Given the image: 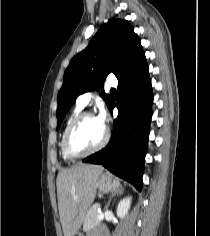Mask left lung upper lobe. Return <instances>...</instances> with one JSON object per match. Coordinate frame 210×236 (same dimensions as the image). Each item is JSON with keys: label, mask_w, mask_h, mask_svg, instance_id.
<instances>
[{"label": "left lung upper lobe", "mask_w": 210, "mask_h": 236, "mask_svg": "<svg viewBox=\"0 0 210 236\" xmlns=\"http://www.w3.org/2000/svg\"><path fill=\"white\" fill-rule=\"evenodd\" d=\"M146 61L140 39L127 20L111 19L96 33L88 47L74 56L58 93L57 129L75 99L86 91L102 88L109 73L118 81L132 75ZM108 107L112 99L102 93Z\"/></svg>", "instance_id": "left-lung-upper-lobe-1"}]
</instances>
